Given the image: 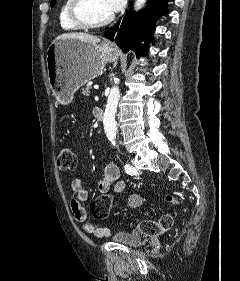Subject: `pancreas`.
<instances>
[{
	"label": "pancreas",
	"mask_w": 240,
	"mask_h": 281,
	"mask_svg": "<svg viewBox=\"0 0 240 281\" xmlns=\"http://www.w3.org/2000/svg\"><path fill=\"white\" fill-rule=\"evenodd\" d=\"M82 94L88 96L90 94V86L87 85L85 88L82 89Z\"/></svg>",
	"instance_id": "cf45deb5"
}]
</instances>
